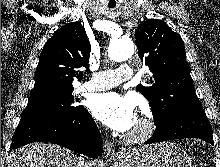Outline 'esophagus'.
<instances>
[{"label":"esophagus","mask_w":220,"mask_h":167,"mask_svg":"<svg viewBox=\"0 0 220 167\" xmlns=\"http://www.w3.org/2000/svg\"><path fill=\"white\" fill-rule=\"evenodd\" d=\"M103 154L106 158H109V159H116L119 156L114 148V145L108 140H105L104 142Z\"/></svg>","instance_id":"34e87169"}]
</instances>
